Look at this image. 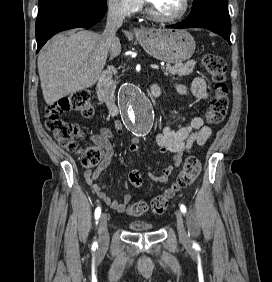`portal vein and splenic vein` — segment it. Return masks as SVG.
<instances>
[{"mask_svg":"<svg viewBox=\"0 0 272 282\" xmlns=\"http://www.w3.org/2000/svg\"><path fill=\"white\" fill-rule=\"evenodd\" d=\"M150 67L153 68V69H159V66L155 65V64L150 65Z\"/></svg>","mask_w":272,"mask_h":282,"instance_id":"18ae733b","label":"portal vein and splenic vein"}]
</instances>
